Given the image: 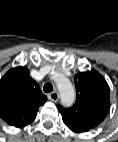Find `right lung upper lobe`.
Returning <instances> with one entry per match:
<instances>
[{
	"label": "right lung upper lobe",
	"mask_w": 118,
	"mask_h": 142,
	"mask_svg": "<svg viewBox=\"0 0 118 142\" xmlns=\"http://www.w3.org/2000/svg\"><path fill=\"white\" fill-rule=\"evenodd\" d=\"M46 101L23 66L9 70L0 80V117L11 126L22 128L33 122Z\"/></svg>",
	"instance_id": "obj_1"
}]
</instances>
